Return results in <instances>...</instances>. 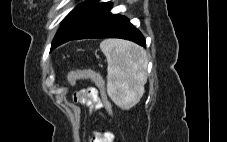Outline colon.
<instances>
[{"mask_svg": "<svg viewBox=\"0 0 227 142\" xmlns=\"http://www.w3.org/2000/svg\"><path fill=\"white\" fill-rule=\"evenodd\" d=\"M80 79H90L96 83V85L102 91V100H103L104 106L108 109V111L111 112V106H110V103H109L106 93H105V84H104L103 79L99 75H97L93 72L81 71V72H75V73L70 74L68 77V82L70 85L73 86Z\"/></svg>", "mask_w": 227, "mask_h": 142, "instance_id": "5ec220e1", "label": "colon"}]
</instances>
